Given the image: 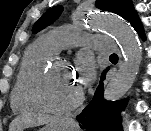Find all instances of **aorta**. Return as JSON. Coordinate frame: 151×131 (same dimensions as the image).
<instances>
[{
  "instance_id": "obj_1",
  "label": "aorta",
  "mask_w": 151,
  "mask_h": 131,
  "mask_svg": "<svg viewBox=\"0 0 151 131\" xmlns=\"http://www.w3.org/2000/svg\"><path fill=\"white\" fill-rule=\"evenodd\" d=\"M89 24L112 34L121 47L123 64L104 90L106 100L120 99L131 88L142 61V50L137 36L125 20L115 15H95Z\"/></svg>"
}]
</instances>
